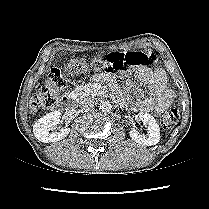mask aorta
I'll list each match as a JSON object with an SVG mask.
<instances>
[{
	"label": "aorta",
	"mask_w": 209,
	"mask_h": 209,
	"mask_svg": "<svg viewBox=\"0 0 209 209\" xmlns=\"http://www.w3.org/2000/svg\"><path fill=\"white\" fill-rule=\"evenodd\" d=\"M99 108L102 112H105V113H108L112 110V105L109 101L107 100H102L100 103H99Z\"/></svg>",
	"instance_id": "aorta-1"
}]
</instances>
